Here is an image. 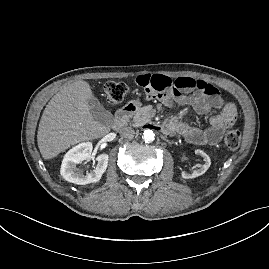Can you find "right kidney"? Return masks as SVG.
<instances>
[{
  "label": "right kidney",
  "instance_id": "obj_1",
  "mask_svg": "<svg viewBox=\"0 0 269 269\" xmlns=\"http://www.w3.org/2000/svg\"><path fill=\"white\" fill-rule=\"evenodd\" d=\"M92 149V143L84 142L73 147L66 153L60 171L65 180L78 185H85L98 182L101 179L108 166L109 156L107 154H100L97 156V166L91 173L84 175L76 167L77 164L90 159Z\"/></svg>",
  "mask_w": 269,
  "mask_h": 269
}]
</instances>
